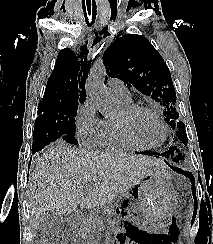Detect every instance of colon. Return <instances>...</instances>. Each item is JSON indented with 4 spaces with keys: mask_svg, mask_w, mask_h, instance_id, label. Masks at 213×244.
<instances>
[{
    "mask_svg": "<svg viewBox=\"0 0 213 244\" xmlns=\"http://www.w3.org/2000/svg\"><path fill=\"white\" fill-rule=\"evenodd\" d=\"M39 244H52L51 236H43L39 239Z\"/></svg>",
    "mask_w": 213,
    "mask_h": 244,
    "instance_id": "colon-1",
    "label": "colon"
}]
</instances>
